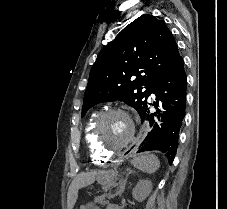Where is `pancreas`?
<instances>
[{
	"label": "pancreas",
	"instance_id": "cf45deb5",
	"mask_svg": "<svg viewBox=\"0 0 227 209\" xmlns=\"http://www.w3.org/2000/svg\"><path fill=\"white\" fill-rule=\"evenodd\" d=\"M106 207L108 206L107 204L105 205ZM86 209H101L100 207L96 206H88Z\"/></svg>",
	"mask_w": 227,
	"mask_h": 209
}]
</instances>
